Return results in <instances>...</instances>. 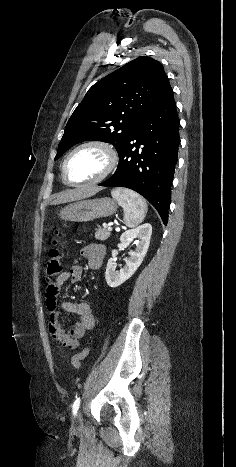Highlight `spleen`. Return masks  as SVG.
<instances>
[{"label":"spleen","mask_w":236,"mask_h":467,"mask_svg":"<svg viewBox=\"0 0 236 467\" xmlns=\"http://www.w3.org/2000/svg\"><path fill=\"white\" fill-rule=\"evenodd\" d=\"M111 195L124 210L126 226L132 228L144 220L148 206L138 193L126 188H115Z\"/></svg>","instance_id":"3e777b00"}]
</instances>
